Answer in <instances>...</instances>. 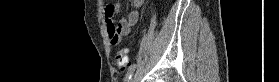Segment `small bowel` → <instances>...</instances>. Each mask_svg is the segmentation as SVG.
Masks as SVG:
<instances>
[{"label": "small bowel", "instance_id": "c3829d8e", "mask_svg": "<svg viewBox=\"0 0 279 82\" xmlns=\"http://www.w3.org/2000/svg\"><path fill=\"white\" fill-rule=\"evenodd\" d=\"M132 4L133 9L129 15L120 20L117 24L113 23L112 17L119 12V3L106 6L105 18L107 22L108 37L111 45H118L122 38L128 35L132 27L138 22L139 9L143 4V0H132Z\"/></svg>", "mask_w": 279, "mask_h": 82}]
</instances>
